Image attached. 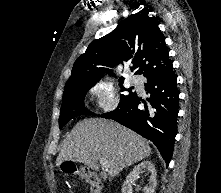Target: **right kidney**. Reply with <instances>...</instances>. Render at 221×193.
Instances as JSON below:
<instances>
[{"instance_id":"1","label":"right kidney","mask_w":221,"mask_h":193,"mask_svg":"<svg viewBox=\"0 0 221 193\" xmlns=\"http://www.w3.org/2000/svg\"><path fill=\"white\" fill-rule=\"evenodd\" d=\"M144 170H147L150 174L148 184L143 188L144 193H154L155 188L157 185L156 176L157 171L155 169L154 164L151 161H143L130 172L127 176L126 181L122 187V193H132V185L136 178H138L139 174L142 173Z\"/></svg>"}]
</instances>
